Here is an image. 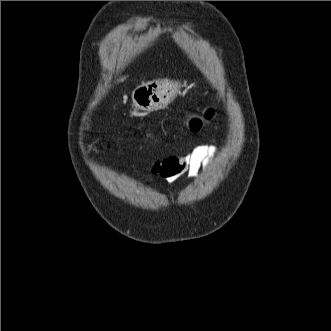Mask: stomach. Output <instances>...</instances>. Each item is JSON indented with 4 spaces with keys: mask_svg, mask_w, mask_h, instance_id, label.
<instances>
[{
    "mask_svg": "<svg viewBox=\"0 0 331 331\" xmlns=\"http://www.w3.org/2000/svg\"><path fill=\"white\" fill-rule=\"evenodd\" d=\"M180 84L170 80H152L137 86L132 92L135 108L152 112L165 107L176 95Z\"/></svg>",
    "mask_w": 331,
    "mask_h": 331,
    "instance_id": "stomach-1",
    "label": "stomach"
}]
</instances>
